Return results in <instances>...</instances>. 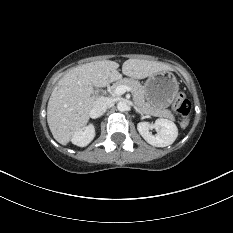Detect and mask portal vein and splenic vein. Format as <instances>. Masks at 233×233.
<instances>
[{"label": "portal vein and splenic vein", "instance_id": "obj_1", "mask_svg": "<svg viewBox=\"0 0 233 233\" xmlns=\"http://www.w3.org/2000/svg\"><path fill=\"white\" fill-rule=\"evenodd\" d=\"M127 91H130V88L128 86L120 85V86H117L115 88L114 94L115 95H122V94H124Z\"/></svg>", "mask_w": 233, "mask_h": 233}]
</instances>
